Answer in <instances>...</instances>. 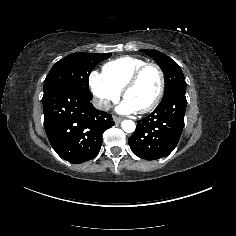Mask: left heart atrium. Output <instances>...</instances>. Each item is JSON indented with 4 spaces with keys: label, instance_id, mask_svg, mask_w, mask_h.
I'll list each match as a JSON object with an SVG mask.
<instances>
[{
    "label": "left heart atrium",
    "instance_id": "39dd6f15",
    "mask_svg": "<svg viewBox=\"0 0 236 236\" xmlns=\"http://www.w3.org/2000/svg\"><path fill=\"white\" fill-rule=\"evenodd\" d=\"M117 111L122 113H133L137 111V108H135L129 101L124 100L118 107Z\"/></svg>",
    "mask_w": 236,
    "mask_h": 236
}]
</instances>
